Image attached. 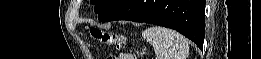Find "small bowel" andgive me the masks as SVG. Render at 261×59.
Returning a JSON list of instances; mask_svg holds the SVG:
<instances>
[{
    "label": "small bowel",
    "mask_w": 261,
    "mask_h": 59,
    "mask_svg": "<svg viewBox=\"0 0 261 59\" xmlns=\"http://www.w3.org/2000/svg\"><path fill=\"white\" fill-rule=\"evenodd\" d=\"M122 56L123 57H129V58H121ZM119 58H121V59H133V57L128 55V54H122Z\"/></svg>",
    "instance_id": "small-bowel-1"
}]
</instances>
